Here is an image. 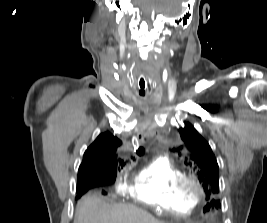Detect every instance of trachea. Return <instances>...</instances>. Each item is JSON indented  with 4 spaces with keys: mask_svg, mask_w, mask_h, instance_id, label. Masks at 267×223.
Masks as SVG:
<instances>
[{
    "mask_svg": "<svg viewBox=\"0 0 267 223\" xmlns=\"http://www.w3.org/2000/svg\"><path fill=\"white\" fill-rule=\"evenodd\" d=\"M137 86H138L139 88H141L142 90L145 89V86H146V79H145V77H144L143 75H141V76L138 78V80H137ZM140 95H141V96H144L145 93H141V92H140Z\"/></svg>",
    "mask_w": 267,
    "mask_h": 223,
    "instance_id": "trachea-1",
    "label": "trachea"
}]
</instances>
